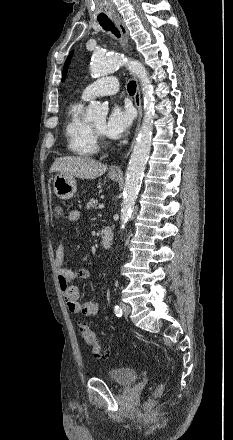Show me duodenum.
Here are the masks:
<instances>
[{
    "label": "duodenum",
    "mask_w": 233,
    "mask_h": 440,
    "mask_svg": "<svg viewBox=\"0 0 233 440\" xmlns=\"http://www.w3.org/2000/svg\"><path fill=\"white\" fill-rule=\"evenodd\" d=\"M102 245L105 249L110 248L113 242V231L109 226H105L101 232Z\"/></svg>",
    "instance_id": "duodenum-1"
}]
</instances>
